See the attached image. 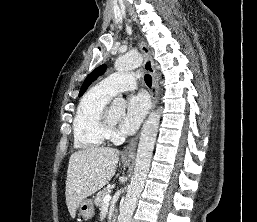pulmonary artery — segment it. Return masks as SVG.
Returning a JSON list of instances; mask_svg holds the SVG:
<instances>
[{
	"instance_id": "obj_1",
	"label": "pulmonary artery",
	"mask_w": 257,
	"mask_h": 222,
	"mask_svg": "<svg viewBox=\"0 0 257 222\" xmlns=\"http://www.w3.org/2000/svg\"><path fill=\"white\" fill-rule=\"evenodd\" d=\"M137 85V76L128 73H115L102 79L98 87L111 96L118 92L134 89Z\"/></svg>"
}]
</instances>
